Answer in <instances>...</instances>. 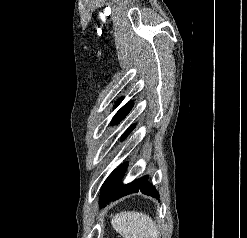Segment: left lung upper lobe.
I'll return each mask as SVG.
<instances>
[{"label":"left lung upper lobe","mask_w":247,"mask_h":238,"mask_svg":"<svg viewBox=\"0 0 247 238\" xmlns=\"http://www.w3.org/2000/svg\"><path fill=\"white\" fill-rule=\"evenodd\" d=\"M133 107V103L129 102L126 105H124L118 112L117 114L114 116L112 122L118 123L120 122L128 113L129 111L132 109ZM133 129V126L130 128V130ZM128 135V132L125 134V136Z\"/></svg>","instance_id":"5c2ea615"}]
</instances>
